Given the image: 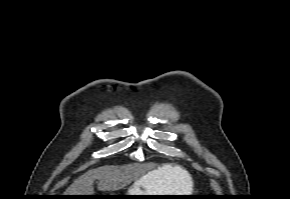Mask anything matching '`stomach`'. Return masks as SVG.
Instances as JSON below:
<instances>
[{
  "instance_id": "stomach-1",
  "label": "stomach",
  "mask_w": 290,
  "mask_h": 199,
  "mask_svg": "<svg viewBox=\"0 0 290 199\" xmlns=\"http://www.w3.org/2000/svg\"><path fill=\"white\" fill-rule=\"evenodd\" d=\"M155 170L151 175L144 176L137 180L124 195H181L169 194L171 191L166 188L163 178H157ZM119 195V194H111ZM126 199H148L146 196H127Z\"/></svg>"
}]
</instances>
